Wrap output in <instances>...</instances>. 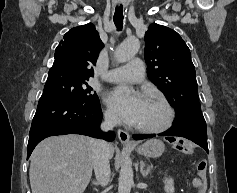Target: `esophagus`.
I'll return each mask as SVG.
<instances>
[{
  "mask_svg": "<svg viewBox=\"0 0 237 193\" xmlns=\"http://www.w3.org/2000/svg\"><path fill=\"white\" fill-rule=\"evenodd\" d=\"M117 133H118V138L122 144L133 145V142L130 140V135L128 132L122 129H119Z\"/></svg>",
  "mask_w": 237,
  "mask_h": 193,
  "instance_id": "34e87169",
  "label": "esophagus"
}]
</instances>
